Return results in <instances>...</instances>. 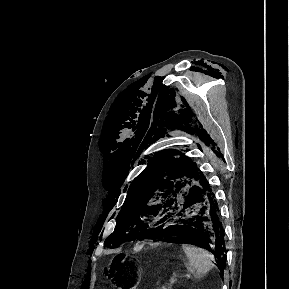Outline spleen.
<instances>
[{"label":"spleen","instance_id":"spleen-1","mask_svg":"<svg viewBox=\"0 0 289 289\" xmlns=\"http://www.w3.org/2000/svg\"><path fill=\"white\" fill-rule=\"evenodd\" d=\"M182 249L188 258L187 269L196 278L203 277L212 269V255L207 250L189 244H182Z\"/></svg>","mask_w":289,"mask_h":289}]
</instances>
